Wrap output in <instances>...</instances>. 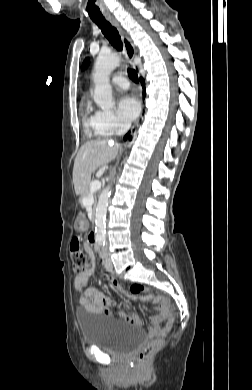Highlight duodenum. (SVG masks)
Here are the masks:
<instances>
[{
  "label": "duodenum",
  "mask_w": 252,
  "mask_h": 390,
  "mask_svg": "<svg viewBox=\"0 0 252 390\" xmlns=\"http://www.w3.org/2000/svg\"><path fill=\"white\" fill-rule=\"evenodd\" d=\"M89 238H90L91 243L94 244V243L96 242V232H95V230H92V231L90 232Z\"/></svg>",
  "instance_id": "obj_1"
}]
</instances>
